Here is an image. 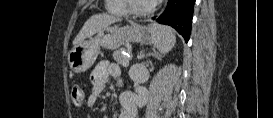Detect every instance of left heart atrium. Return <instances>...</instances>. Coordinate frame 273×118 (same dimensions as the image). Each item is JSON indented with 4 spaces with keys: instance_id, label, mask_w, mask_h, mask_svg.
<instances>
[{
    "instance_id": "1",
    "label": "left heart atrium",
    "mask_w": 273,
    "mask_h": 118,
    "mask_svg": "<svg viewBox=\"0 0 273 118\" xmlns=\"http://www.w3.org/2000/svg\"><path fill=\"white\" fill-rule=\"evenodd\" d=\"M160 0H148V2L150 3V4H156L157 2H159Z\"/></svg>"
}]
</instances>
